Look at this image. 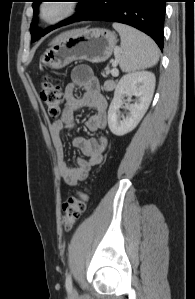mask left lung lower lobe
Returning <instances> with one entry per match:
<instances>
[{"mask_svg": "<svg viewBox=\"0 0 195 299\" xmlns=\"http://www.w3.org/2000/svg\"><path fill=\"white\" fill-rule=\"evenodd\" d=\"M167 0H91L75 21H112L133 26L163 48V25Z\"/></svg>", "mask_w": 195, "mask_h": 299, "instance_id": "1", "label": "left lung lower lobe"}]
</instances>
